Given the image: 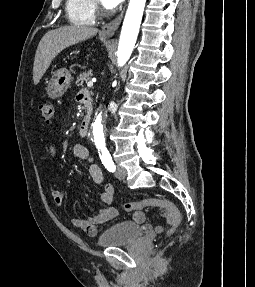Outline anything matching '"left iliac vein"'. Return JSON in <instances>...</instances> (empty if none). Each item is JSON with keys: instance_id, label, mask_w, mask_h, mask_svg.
<instances>
[{"instance_id": "4c4485c4", "label": "left iliac vein", "mask_w": 255, "mask_h": 287, "mask_svg": "<svg viewBox=\"0 0 255 287\" xmlns=\"http://www.w3.org/2000/svg\"><path fill=\"white\" fill-rule=\"evenodd\" d=\"M115 176L120 180H124L127 176V172H126L125 168L122 166H118L117 170L115 172Z\"/></svg>"}]
</instances>
